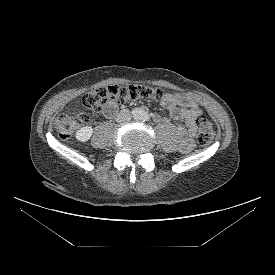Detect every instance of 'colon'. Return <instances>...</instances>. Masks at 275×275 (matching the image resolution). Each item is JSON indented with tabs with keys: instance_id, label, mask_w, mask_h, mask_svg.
Masks as SVG:
<instances>
[{
	"instance_id": "obj_1",
	"label": "colon",
	"mask_w": 275,
	"mask_h": 275,
	"mask_svg": "<svg viewBox=\"0 0 275 275\" xmlns=\"http://www.w3.org/2000/svg\"><path fill=\"white\" fill-rule=\"evenodd\" d=\"M163 92L151 86L130 85L118 86L110 85L97 88L83 98V104L89 110L97 111L108 102L116 101L120 104L132 103L142 99L161 100ZM89 122L86 114L60 113L54 119V127L62 139H68L80 127ZM197 139L201 146L209 144L214 138V130L210 121L205 116H200L196 122Z\"/></svg>"
}]
</instances>
